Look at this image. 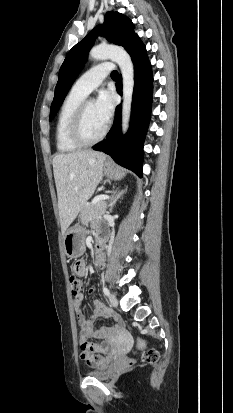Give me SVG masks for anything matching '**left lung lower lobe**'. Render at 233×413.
I'll use <instances>...</instances> for the list:
<instances>
[{
    "mask_svg": "<svg viewBox=\"0 0 233 413\" xmlns=\"http://www.w3.org/2000/svg\"><path fill=\"white\" fill-rule=\"evenodd\" d=\"M134 62L135 85L132 100L130 128L125 136L121 134V106L116 108L114 124L107 138L93 147L110 155L119 165L142 177L143 143L148 128L152 101V70L145 46L139 43L128 52ZM121 76L117 91L122 94Z\"/></svg>",
    "mask_w": 233,
    "mask_h": 413,
    "instance_id": "1",
    "label": "left lung lower lobe"
}]
</instances>
